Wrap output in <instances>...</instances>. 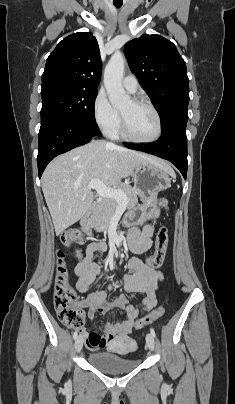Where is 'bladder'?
I'll return each instance as SVG.
<instances>
[{
	"instance_id": "1",
	"label": "bladder",
	"mask_w": 235,
	"mask_h": 404,
	"mask_svg": "<svg viewBox=\"0 0 235 404\" xmlns=\"http://www.w3.org/2000/svg\"><path fill=\"white\" fill-rule=\"evenodd\" d=\"M114 351L100 349L88 354V362L98 370L109 373L130 372L140 363L139 359L128 358L117 352H131L134 346H116Z\"/></svg>"
}]
</instances>
